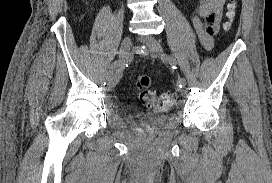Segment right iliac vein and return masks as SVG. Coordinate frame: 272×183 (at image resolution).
I'll return each instance as SVG.
<instances>
[{
  "mask_svg": "<svg viewBox=\"0 0 272 183\" xmlns=\"http://www.w3.org/2000/svg\"><path fill=\"white\" fill-rule=\"evenodd\" d=\"M131 46H132V38L130 36H126L123 39V41L121 43V46H120V49H119V63H118V66L113 70H118V68H124L125 64L129 60V53H130ZM120 77H121V73H119L115 78H113L111 76L110 71H109L108 74H107L106 79H107L109 85L111 87H114L118 83Z\"/></svg>",
  "mask_w": 272,
  "mask_h": 183,
  "instance_id": "63e3f726",
  "label": "right iliac vein"
}]
</instances>
